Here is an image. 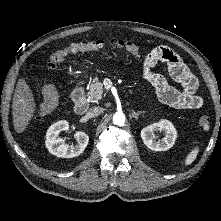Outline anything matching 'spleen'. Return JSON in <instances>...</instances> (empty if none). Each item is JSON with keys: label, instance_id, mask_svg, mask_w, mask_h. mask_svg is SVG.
Here are the masks:
<instances>
[{"label": "spleen", "instance_id": "3e777b00", "mask_svg": "<svg viewBox=\"0 0 221 221\" xmlns=\"http://www.w3.org/2000/svg\"><path fill=\"white\" fill-rule=\"evenodd\" d=\"M198 151H199L198 148H194V150H192V151L187 155V157H186V159H185V165H189V164H191V163L195 160V158H196V156H197V154H198Z\"/></svg>", "mask_w": 221, "mask_h": 221}]
</instances>
